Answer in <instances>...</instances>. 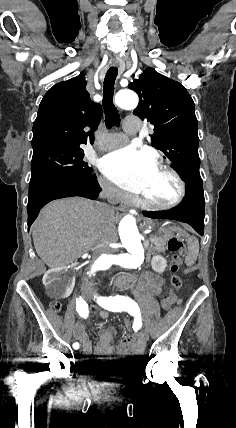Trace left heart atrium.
Instances as JSON below:
<instances>
[{"label":"left heart atrium","mask_w":236,"mask_h":428,"mask_svg":"<svg viewBox=\"0 0 236 428\" xmlns=\"http://www.w3.org/2000/svg\"><path fill=\"white\" fill-rule=\"evenodd\" d=\"M156 161L141 150L123 148L108 155L102 162L103 174L118 186L140 194Z\"/></svg>","instance_id":"left-heart-atrium-1"}]
</instances>
